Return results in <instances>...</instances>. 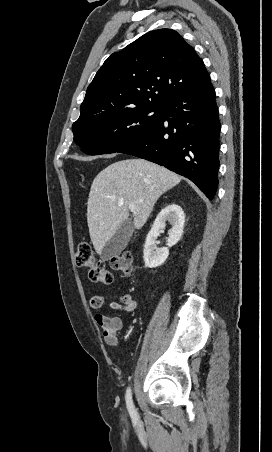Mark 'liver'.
I'll return each instance as SVG.
<instances>
[{
    "instance_id": "6515ba94",
    "label": "liver",
    "mask_w": 272,
    "mask_h": 452,
    "mask_svg": "<svg viewBox=\"0 0 272 452\" xmlns=\"http://www.w3.org/2000/svg\"><path fill=\"white\" fill-rule=\"evenodd\" d=\"M181 177L145 159H126L103 169L93 180L87 203V222L95 251L106 243L129 216L135 204L134 227L146 223L158 198L179 184Z\"/></svg>"
}]
</instances>
